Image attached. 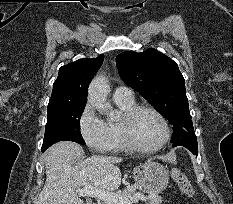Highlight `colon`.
I'll list each match as a JSON object with an SVG mask.
<instances>
[{
	"instance_id": "5ec220e1",
	"label": "colon",
	"mask_w": 233,
	"mask_h": 204,
	"mask_svg": "<svg viewBox=\"0 0 233 204\" xmlns=\"http://www.w3.org/2000/svg\"><path fill=\"white\" fill-rule=\"evenodd\" d=\"M171 176L172 179L177 183L183 194H185L188 197H192L194 195V189L190 180L179 168H172Z\"/></svg>"
}]
</instances>
